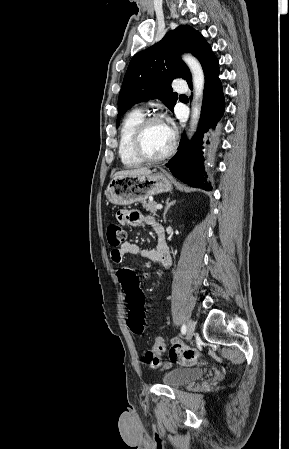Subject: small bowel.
I'll list each match as a JSON object with an SVG mask.
<instances>
[{"instance_id":"1","label":"small bowel","mask_w":289,"mask_h":449,"mask_svg":"<svg viewBox=\"0 0 289 449\" xmlns=\"http://www.w3.org/2000/svg\"><path fill=\"white\" fill-rule=\"evenodd\" d=\"M120 223L131 226H138L147 223L152 226L157 233V243L153 249H145L131 242H124L120 247L111 251V260L116 264H122L126 255H138L158 263L165 268L171 265V256L166 244L163 228L153 219L143 216L137 210H120L117 214ZM183 338L173 337L171 344L166 347L169 349L168 356L170 362L164 364V368H169L171 364H180L182 368L195 369L197 361L207 360L209 357L203 355L195 347L182 346ZM181 353V354H180ZM161 365V362L159 366Z\"/></svg>"}]
</instances>
